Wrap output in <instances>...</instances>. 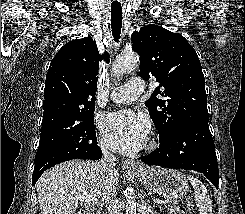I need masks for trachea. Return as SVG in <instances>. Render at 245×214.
Here are the masks:
<instances>
[{
	"instance_id": "3493384b",
	"label": "trachea",
	"mask_w": 245,
	"mask_h": 214,
	"mask_svg": "<svg viewBox=\"0 0 245 214\" xmlns=\"http://www.w3.org/2000/svg\"><path fill=\"white\" fill-rule=\"evenodd\" d=\"M111 27L114 41L118 42L120 39L122 28V7L121 4H111Z\"/></svg>"
}]
</instances>
